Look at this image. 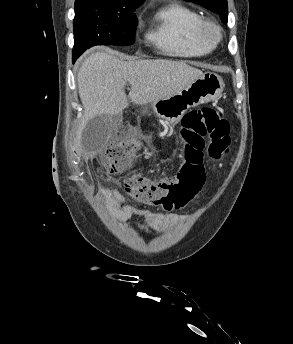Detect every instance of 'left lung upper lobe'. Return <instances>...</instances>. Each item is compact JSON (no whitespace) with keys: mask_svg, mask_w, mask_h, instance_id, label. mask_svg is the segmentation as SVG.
<instances>
[{"mask_svg":"<svg viewBox=\"0 0 293 344\" xmlns=\"http://www.w3.org/2000/svg\"><path fill=\"white\" fill-rule=\"evenodd\" d=\"M199 4L210 11H213L220 15L222 21L227 23L228 18V5L227 0H186Z\"/></svg>","mask_w":293,"mask_h":344,"instance_id":"1","label":"left lung upper lobe"}]
</instances>
